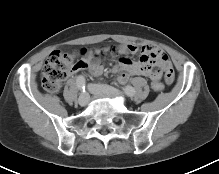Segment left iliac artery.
<instances>
[{
	"label": "left iliac artery",
	"mask_w": 219,
	"mask_h": 174,
	"mask_svg": "<svg viewBox=\"0 0 219 174\" xmlns=\"http://www.w3.org/2000/svg\"><path fill=\"white\" fill-rule=\"evenodd\" d=\"M123 90H124L125 94L128 95V96H133L136 92L135 89L132 86H129V85L126 86Z\"/></svg>",
	"instance_id": "44dca946"
}]
</instances>
